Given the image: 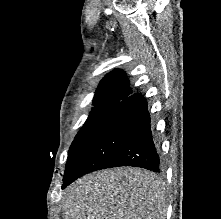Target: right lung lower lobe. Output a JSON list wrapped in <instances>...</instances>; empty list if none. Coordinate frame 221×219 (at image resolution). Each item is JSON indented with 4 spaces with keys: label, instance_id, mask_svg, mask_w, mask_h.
Masks as SVG:
<instances>
[{
    "label": "right lung lower lobe",
    "instance_id": "1",
    "mask_svg": "<svg viewBox=\"0 0 221 219\" xmlns=\"http://www.w3.org/2000/svg\"><path fill=\"white\" fill-rule=\"evenodd\" d=\"M135 166L160 172L159 146L140 93L122 100L68 157L62 188L92 171Z\"/></svg>",
    "mask_w": 221,
    "mask_h": 219
}]
</instances>
